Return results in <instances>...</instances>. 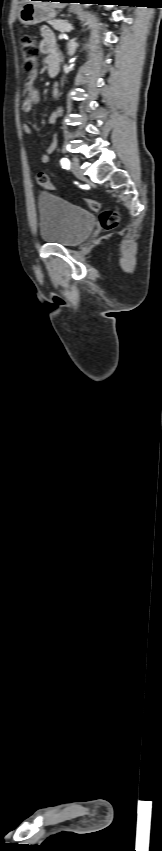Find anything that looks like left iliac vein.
I'll return each instance as SVG.
<instances>
[{
	"instance_id": "4c4485c4",
	"label": "left iliac vein",
	"mask_w": 162,
	"mask_h": 851,
	"mask_svg": "<svg viewBox=\"0 0 162 851\" xmlns=\"http://www.w3.org/2000/svg\"><path fill=\"white\" fill-rule=\"evenodd\" d=\"M71 169H72L73 174H74L76 177H78V178H82V177H83V172H82L81 167H80V164H79V162H78L77 160H73V162H72V164H71Z\"/></svg>"
}]
</instances>
